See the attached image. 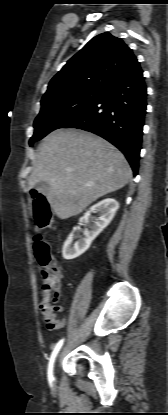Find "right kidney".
Instances as JSON below:
<instances>
[{
	"instance_id": "obj_1",
	"label": "right kidney",
	"mask_w": 168,
	"mask_h": 415,
	"mask_svg": "<svg viewBox=\"0 0 168 415\" xmlns=\"http://www.w3.org/2000/svg\"><path fill=\"white\" fill-rule=\"evenodd\" d=\"M118 208V202L111 198L104 199L93 205L90 210L86 212L82 218H80V224H82V222L88 223L92 213L99 212V219L94 221L90 228L84 231V238L75 242L73 245L72 235H69L63 245V258L71 260L83 254L90 247L92 241L109 225ZM76 229L77 227L73 228V230Z\"/></svg>"
}]
</instances>
